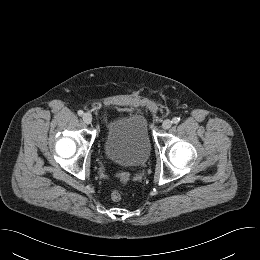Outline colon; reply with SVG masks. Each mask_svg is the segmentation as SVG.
<instances>
[{"label": "colon", "mask_w": 260, "mask_h": 260, "mask_svg": "<svg viewBox=\"0 0 260 260\" xmlns=\"http://www.w3.org/2000/svg\"><path fill=\"white\" fill-rule=\"evenodd\" d=\"M119 178L121 179L122 182L125 183L128 180V175L126 173H121L119 174ZM110 198L113 202H120L122 200V194L120 191L114 190L111 193Z\"/></svg>", "instance_id": "colon-1"}]
</instances>
